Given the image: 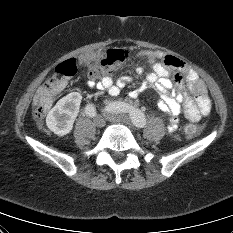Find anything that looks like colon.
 <instances>
[{"label": "colon", "mask_w": 233, "mask_h": 233, "mask_svg": "<svg viewBox=\"0 0 233 233\" xmlns=\"http://www.w3.org/2000/svg\"><path fill=\"white\" fill-rule=\"evenodd\" d=\"M128 57L129 52L127 50L111 49L100 63L94 64L89 68L88 76L91 79L101 78L127 61ZM76 72L77 65L75 60H66L55 68L53 75L37 90L34 97V113L38 119H42L46 115L52 106L55 96ZM201 131L202 127L196 123H189L184 128V132L188 136H195Z\"/></svg>", "instance_id": "obj_1"}]
</instances>
